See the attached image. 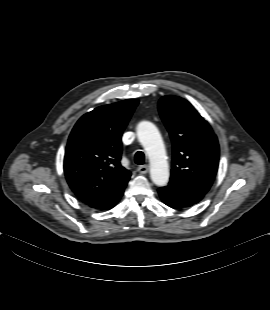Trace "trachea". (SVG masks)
I'll return each mask as SVG.
<instances>
[{
    "label": "trachea",
    "instance_id": "trachea-1",
    "mask_svg": "<svg viewBox=\"0 0 270 310\" xmlns=\"http://www.w3.org/2000/svg\"><path fill=\"white\" fill-rule=\"evenodd\" d=\"M134 161L137 165H143L145 163V155L143 152L138 151L135 153Z\"/></svg>",
    "mask_w": 270,
    "mask_h": 310
}]
</instances>
